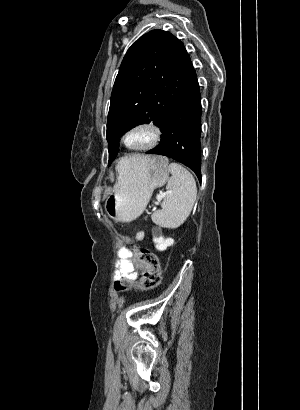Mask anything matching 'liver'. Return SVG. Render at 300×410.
<instances>
[{"label":"liver","mask_w":300,"mask_h":410,"mask_svg":"<svg viewBox=\"0 0 300 410\" xmlns=\"http://www.w3.org/2000/svg\"><path fill=\"white\" fill-rule=\"evenodd\" d=\"M146 159H147V156L135 154V155L129 156L126 159V162H127V165L134 166L138 164L139 162L144 161Z\"/></svg>","instance_id":"liver-1"}]
</instances>
